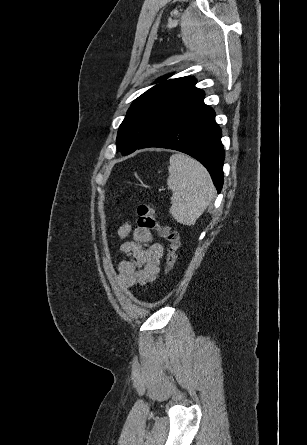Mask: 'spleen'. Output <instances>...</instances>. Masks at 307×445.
<instances>
[{"label": "spleen", "mask_w": 307, "mask_h": 445, "mask_svg": "<svg viewBox=\"0 0 307 445\" xmlns=\"http://www.w3.org/2000/svg\"><path fill=\"white\" fill-rule=\"evenodd\" d=\"M168 170L173 196L169 212L177 223L191 227L214 194L212 178L201 162L182 152L170 156Z\"/></svg>", "instance_id": "spleen-1"}]
</instances>
